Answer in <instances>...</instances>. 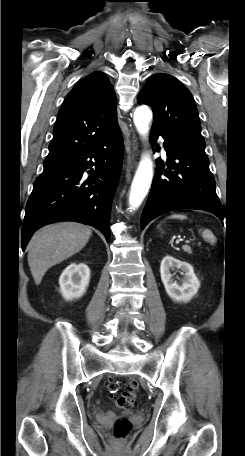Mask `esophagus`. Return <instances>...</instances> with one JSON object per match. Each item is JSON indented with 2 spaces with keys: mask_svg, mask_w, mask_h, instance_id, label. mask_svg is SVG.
Masks as SVG:
<instances>
[{
  "mask_svg": "<svg viewBox=\"0 0 245 456\" xmlns=\"http://www.w3.org/2000/svg\"><path fill=\"white\" fill-rule=\"evenodd\" d=\"M127 140H128V145H129L128 163H129V165H133V163H134V152L138 148L137 138H136L134 130H132V129L129 130V133L127 135Z\"/></svg>",
  "mask_w": 245,
  "mask_h": 456,
  "instance_id": "34e87169",
  "label": "esophagus"
}]
</instances>
